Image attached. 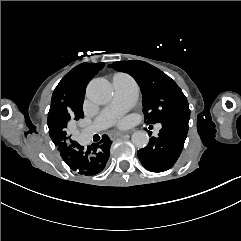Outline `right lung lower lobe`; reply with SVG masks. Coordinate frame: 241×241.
Returning <instances> with one entry per match:
<instances>
[{"instance_id": "right-lung-lower-lobe-1", "label": "right lung lower lobe", "mask_w": 241, "mask_h": 241, "mask_svg": "<svg viewBox=\"0 0 241 241\" xmlns=\"http://www.w3.org/2000/svg\"><path fill=\"white\" fill-rule=\"evenodd\" d=\"M111 140L103 135L98 143L84 148L73 141L58 148L65 163L73 170L83 175H95L106 166L110 156Z\"/></svg>"}]
</instances>
